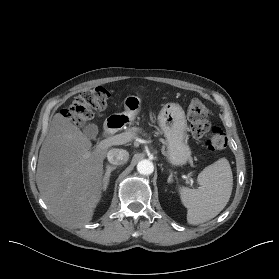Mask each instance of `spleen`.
Returning <instances> with one entry per match:
<instances>
[{
    "instance_id": "1",
    "label": "spleen",
    "mask_w": 279,
    "mask_h": 279,
    "mask_svg": "<svg viewBox=\"0 0 279 279\" xmlns=\"http://www.w3.org/2000/svg\"><path fill=\"white\" fill-rule=\"evenodd\" d=\"M197 181V189H179L181 201L187 208V222L192 225L211 220L227 205L233 188V174L228 160L221 158L205 167Z\"/></svg>"
}]
</instances>
